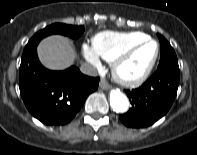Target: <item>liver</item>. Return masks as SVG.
Masks as SVG:
<instances>
[{
  "label": "liver",
  "mask_w": 197,
  "mask_h": 155,
  "mask_svg": "<svg viewBox=\"0 0 197 155\" xmlns=\"http://www.w3.org/2000/svg\"><path fill=\"white\" fill-rule=\"evenodd\" d=\"M37 49L42 64L52 70H62L69 67L76 57L71 42L60 35L43 39Z\"/></svg>",
  "instance_id": "obj_1"
}]
</instances>
